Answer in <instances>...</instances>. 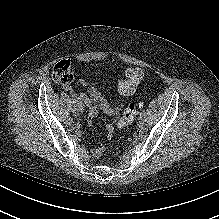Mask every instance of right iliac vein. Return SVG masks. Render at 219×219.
<instances>
[{"instance_id": "1", "label": "right iliac vein", "mask_w": 219, "mask_h": 219, "mask_svg": "<svg viewBox=\"0 0 219 219\" xmlns=\"http://www.w3.org/2000/svg\"><path fill=\"white\" fill-rule=\"evenodd\" d=\"M80 109L77 106H74L72 113L75 117L79 115Z\"/></svg>"}]
</instances>
